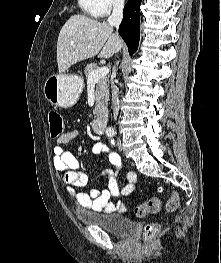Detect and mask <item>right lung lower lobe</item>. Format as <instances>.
<instances>
[{"instance_id": "1", "label": "right lung lower lobe", "mask_w": 221, "mask_h": 263, "mask_svg": "<svg viewBox=\"0 0 221 263\" xmlns=\"http://www.w3.org/2000/svg\"><path fill=\"white\" fill-rule=\"evenodd\" d=\"M142 0H129L123 10L119 34L128 46L129 54L136 52L140 37V4Z\"/></svg>"}]
</instances>
